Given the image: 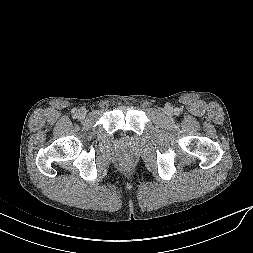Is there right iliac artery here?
Returning a JSON list of instances; mask_svg holds the SVG:
<instances>
[{
    "label": "right iliac artery",
    "instance_id": "right-iliac-artery-1",
    "mask_svg": "<svg viewBox=\"0 0 253 253\" xmlns=\"http://www.w3.org/2000/svg\"><path fill=\"white\" fill-rule=\"evenodd\" d=\"M74 113H75V115L77 114V112H76V111H74Z\"/></svg>",
    "mask_w": 253,
    "mask_h": 253
}]
</instances>
